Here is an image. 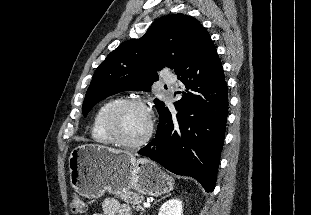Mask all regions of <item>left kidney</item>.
Instances as JSON below:
<instances>
[{"mask_svg":"<svg viewBox=\"0 0 311 215\" xmlns=\"http://www.w3.org/2000/svg\"><path fill=\"white\" fill-rule=\"evenodd\" d=\"M182 202L171 199L165 202L159 209L158 215H183Z\"/></svg>","mask_w":311,"mask_h":215,"instance_id":"obj_1","label":"left kidney"}]
</instances>
